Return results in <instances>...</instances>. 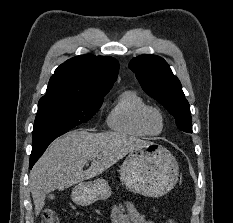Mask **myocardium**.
Returning <instances> with one entry per match:
<instances>
[{
  "instance_id": "myocardium-1",
  "label": "myocardium",
  "mask_w": 233,
  "mask_h": 223,
  "mask_svg": "<svg viewBox=\"0 0 233 223\" xmlns=\"http://www.w3.org/2000/svg\"><path fill=\"white\" fill-rule=\"evenodd\" d=\"M151 111H157L161 114L163 121H164V127L163 130L159 133H153L150 131L148 124H147V115ZM139 125L142 128V130L148 135V136H160L163 135L167 129L168 126V118L166 115V112L159 106L156 105H146L144 106L140 113H139Z\"/></svg>"
}]
</instances>
